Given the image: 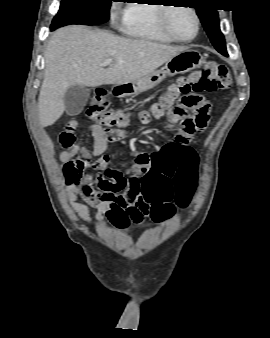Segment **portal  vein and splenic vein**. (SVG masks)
I'll list each match as a JSON object with an SVG mask.
<instances>
[{"mask_svg": "<svg viewBox=\"0 0 270 338\" xmlns=\"http://www.w3.org/2000/svg\"><path fill=\"white\" fill-rule=\"evenodd\" d=\"M111 64H112V59H111V58L106 59V60L102 63L103 66H110Z\"/></svg>", "mask_w": 270, "mask_h": 338, "instance_id": "obj_1", "label": "portal vein and splenic vein"}]
</instances>
